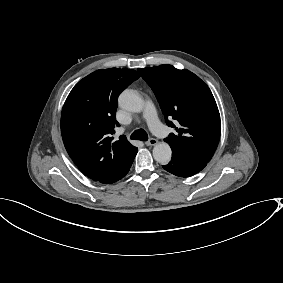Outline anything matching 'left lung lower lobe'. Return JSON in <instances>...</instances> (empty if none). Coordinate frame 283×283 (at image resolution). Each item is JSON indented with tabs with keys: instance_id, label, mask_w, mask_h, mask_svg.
Listing matches in <instances>:
<instances>
[{
	"instance_id": "1",
	"label": "left lung lower lobe",
	"mask_w": 283,
	"mask_h": 283,
	"mask_svg": "<svg viewBox=\"0 0 283 283\" xmlns=\"http://www.w3.org/2000/svg\"><path fill=\"white\" fill-rule=\"evenodd\" d=\"M208 162L188 157L180 153H172L171 161L163 168L179 177H189L200 172Z\"/></svg>"
}]
</instances>
